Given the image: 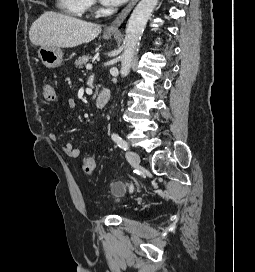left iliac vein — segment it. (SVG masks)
Masks as SVG:
<instances>
[{"label": "left iliac vein", "mask_w": 255, "mask_h": 272, "mask_svg": "<svg viewBox=\"0 0 255 272\" xmlns=\"http://www.w3.org/2000/svg\"><path fill=\"white\" fill-rule=\"evenodd\" d=\"M126 158H127L128 162L133 166H137L140 164V157L134 151H127Z\"/></svg>", "instance_id": "obj_1"}]
</instances>
